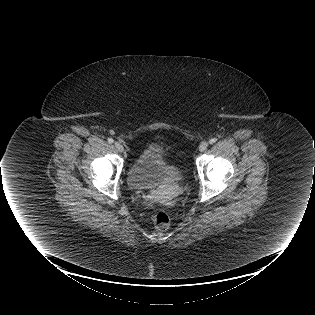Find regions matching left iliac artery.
Wrapping results in <instances>:
<instances>
[{"mask_svg": "<svg viewBox=\"0 0 315 315\" xmlns=\"http://www.w3.org/2000/svg\"><path fill=\"white\" fill-rule=\"evenodd\" d=\"M216 141H217V139H216V138H213V139H210V140H209V143H210V144H213V143H215Z\"/></svg>", "mask_w": 315, "mask_h": 315, "instance_id": "obj_1", "label": "left iliac artery"}]
</instances>
